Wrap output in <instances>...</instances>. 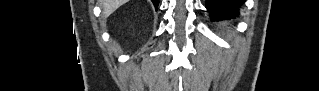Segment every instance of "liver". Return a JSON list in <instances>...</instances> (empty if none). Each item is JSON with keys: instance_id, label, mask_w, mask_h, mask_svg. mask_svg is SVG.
Wrapping results in <instances>:
<instances>
[{"instance_id": "1", "label": "liver", "mask_w": 319, "mask_h": 91, "mask_svg": "<svg viewBox=\"0 0 319 91\" xmlns=\"http://www.w3.org/2000/svg\"><path fill=\"white\" fill-rule=\"evenodd\" d=\"M104 16H109L128 0H101Z\"/></svg>"}]
</instances>
